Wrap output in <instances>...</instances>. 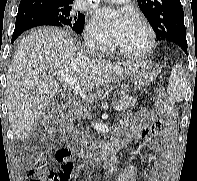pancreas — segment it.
<instances>
[{"label":"pancreas","mask_w":197,"mask_h":181,"mask_svg":"<svg viewBox=\"0 0 197 181\" xmlns=\"http://www.w3.org/2000/svg\"><path fill=\"white\" fill-rule=\"evenodd\" d=\"M137 99L132 96L122 93L119 99V104H122L124 108L134 107L136 105ZM89 137V135H86Z\"/></svg>","instance_id":"pancreas-1"}]
</instances>
